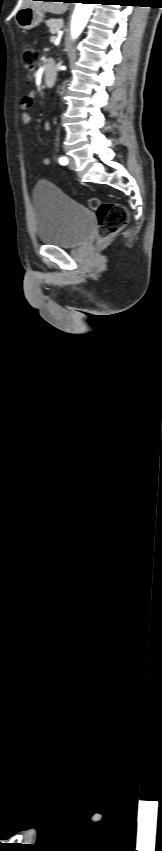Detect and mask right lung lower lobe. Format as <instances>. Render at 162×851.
Returning <instances> with one entry per match:
<instances>
[{"mask_svg":"<svg viewBox=\"0 0 162 851\" xmlns=\"http://www.w3.org/2000/svg\"><path fill=\"white\" fill-rule=\"evenodd\" d=\"M44 1H55V0H44ZM64 2H71L72 0H63Z\"/></svg>","mask_w":162,"mask_h":851,"instance_id":"98d812e1","label":"right lung lower lobe"}]
</instances>
